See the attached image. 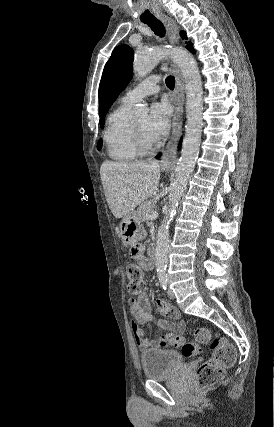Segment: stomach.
Segmentation results:
<instances>
[{
    "label": "stomach",
    "instance_id": "obj_1",
    "mask_svg": "<svg viewBox=\"0 0 274 427\" xmlns=\"http://www.w3.org/2000/svg\"><path fill=\"white\" fill-rule=\"evenodd\" d=\"M146 231L137 215V212L124 215L119 223V237L124 245H133L145 237Z\"/></svg>",
    "mask_w": 274,
    "mask_h": 427
}]
</instances>
